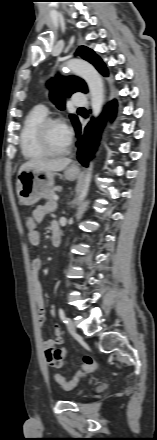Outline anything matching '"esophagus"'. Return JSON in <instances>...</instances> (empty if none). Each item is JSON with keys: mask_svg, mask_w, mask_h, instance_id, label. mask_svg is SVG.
Instances as JSON below:
<instances>
[{"mask_svg": "<svg viewBox=\"0 0 157 440\" xmlns=\"http://www.w3.org/2000/svg\"><path fill=\"white\" fill-rule=\"evenodd\" d=\"M73 168L78 169L79 167H78V165L74 164Z\"/></svg>", "mask_w": 157, "mask_h": 440, "instance_id": "obj_1", "label": "esophagus"}]
</instances>
